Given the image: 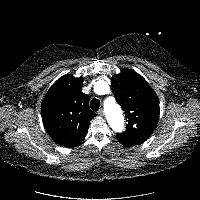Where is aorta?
I'll return each instance as SVG.
<instances>
[{"label": "aorta", "mask_w": 200, "mask_h": 200, "mask_svg": "<svg viewBox=\"0 0 200 200\" xmlns=\"http://www.w3.org/2000/svg\"><path fill=\"white\" fill-rule=\"evenodd\" d=\"M105 112L107 116V120L111 127L115 130H121L123 128V115L121 108L118 104L113 102L105 101L104 103Z\"/></svg>", "instance_id": "aorta-1"}]
</instances>
